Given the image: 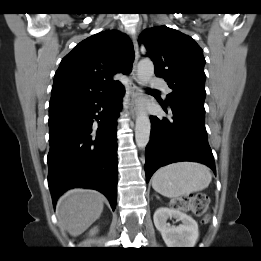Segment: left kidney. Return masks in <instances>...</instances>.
<instances>
[{
  "instance_id": "1",
  "label": "left kidney",
  "mask_w": 261,
  "mask_h": 261,
  "mask_svg": "<svg viewBox=\"0 0 261 261\" xmlns=\"http://www.w3.org/2000/svg\"><path fill=\"white\" fill-rule=\"evenodd\" d=\"M168 218H174L182 224L170 226L167 223ZM153 220L167 247L191 248L195 246L199 230L197 222L191 216L177 209L162 207L155 211Z\"/></svg>"
}]
</instances>
